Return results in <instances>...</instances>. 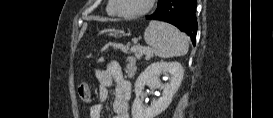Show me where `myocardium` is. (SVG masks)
Instances as JSON below:
<instances>
[{
	"mask_svg": "<svg viewBox=\"0 0 273 118\" xmlns=\"http://www.w3.org/2000/svg\"><path fill=\"white\" fill-rule=\"evenodd\" d=\"M111 2H112V7L115 11V14H117L123 18H126V19H133V18L141 17V16L147 14L152 9L155 0H148L147 5L143 10H141L139 12H135V13H126V12H123L122 10H120L119 0H112Z\"/></svg>",
	"mask_w": 273,
	"mask_h": 118,
	"instance_id": "f54148a6",
	"label": "myocardium"
}]
</instances>
